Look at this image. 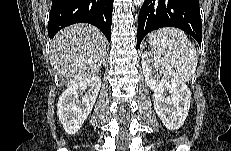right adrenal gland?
<instances>
[{"mask_svg":"<svg viewBox=\"0 0 231 151\" xmlns=\"http://www.w3.org/2000/svg\"><path fill=\"white\" fill-rule=\"evenodd\" d=\"M103 62H104V64H106V62H105V58H104V61H103Z\"/></svg>","mask_w":231,"mask_h":151,"instance_id":"2a0ac1e0","label":"right adrenal gland"}]
</instances>
